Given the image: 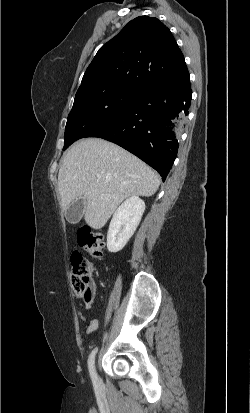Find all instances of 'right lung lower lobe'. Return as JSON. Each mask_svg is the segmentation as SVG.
I'll use <instances>...</instances> for the list:
<instances>
[{"label": "right lung lower lobe", "mask_w": 250, "mask_h": 413, "mask_svg": "<svg viewBox=\"0 0 250 413\" xmlns=\"http://www.w3.org/2000/svg\"><path fill=\"white\" fill-rule=\"evenodd\" d=\"M190 77L180 85L141 91L118 115L88 133L111 141L158 171L163 181L172 167L191 102Z\"/></svg>", "instance_id": "right-lung-lower-lobe-1"}]
</instances>
